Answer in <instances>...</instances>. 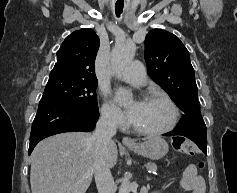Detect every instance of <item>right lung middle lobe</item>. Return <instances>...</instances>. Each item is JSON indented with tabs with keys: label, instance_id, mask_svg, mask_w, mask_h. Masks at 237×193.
Segmentation results:
<instances>
[{
	"label": "right lung middle lobe",
	"instance_id": "right-lung-middle-lobe-1",
	"mask_svg": "<svg viewBox=\"0 0 237 193\" xmlns=\"http://www.w3.org/2000/svg\"><path fill=\"white\" fill-rule=\"evenodd\" d=\"M97 80L50 74L40 102H53L83 111H98Z\"/></svg>",
	"mask_w": 237,
	"mask_h": 193
}]
</instances>
